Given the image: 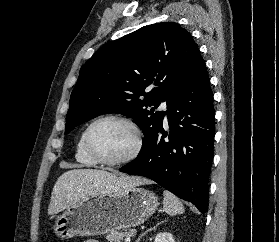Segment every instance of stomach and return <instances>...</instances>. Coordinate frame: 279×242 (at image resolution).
Masks as SVG:
<instances>
[{"label":"stomach","instance_id":"0dacf381","mask_svg":"<svg viewBox=\"0 0 279 242\" xmlns=\"http://www.w3.org/2000/svg\"><path fill=\"white\" fill-rule=\"evenodd\" d=\"M157 206L155 193L136 186L99 193L68 207L56 218L53 230L61 239L104 235L144 223Z\"/></svg>","mask_w":279,"mask_h":242}]
</instances>
